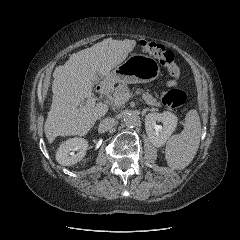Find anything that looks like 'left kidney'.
Here are the masks:
<instances>
[{"instance_id": "1", "label": "left kidney", "mask_w": 240, "mask_h": 240, "mask_svg": "<svg viewBox=\"0 0 240 240\" xmlns=\"http://www.w3.org/2000/svg\"><path fill=\"white\" fill-rule=\"evenodd\" d=\"M156 122H161L163 126L157 125ZM177 122L176 115L168 111L147 114L145 117V129L150 142L157 147L165 144L175 130Z\"/></svg>"}]
</instances>
